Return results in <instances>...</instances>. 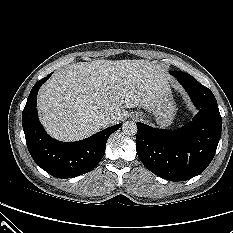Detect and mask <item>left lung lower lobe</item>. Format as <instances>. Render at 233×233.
<instances>
[{
    "instance_id": "1",
    "label": "left lung lower lobe",
    "mask_w": 233,
    "mask_h": 233,
    "mask_svg": "<svg viewBox=\"0 0 233 233\" xmlns=\"http://www.w3.org/2000/svg\"><path fill=\"white\" fill-rule=\"evenodd\" d=\"M177 79L199 109L193 120L173 131L136 123L140 160L151 172L170 181L189 180L202 173L215 155L222 131V118L211 90L192 76Z\"/></svg>"
}]
</instances>
